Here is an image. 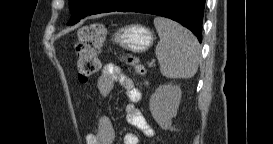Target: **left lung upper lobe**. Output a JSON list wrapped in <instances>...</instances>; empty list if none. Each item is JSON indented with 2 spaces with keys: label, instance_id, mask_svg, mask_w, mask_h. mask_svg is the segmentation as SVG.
Here are the masks:
<instances>
[{
  "label": "left lung upper lobe",
  "instance_id": "obj_1",
  "mask_svg": "<svg viewBox=\"0 0 273 144\" xmlns=\"http://www.w3.org/2000/svg\"><path fill=\"white\" fill-rule=\"evenodd\" d=\"M96 4V0H69V9L73 16L88 12Z\"/></svg>",
  "mask_w": 273,
  "mask_h": 144
}]
</instances>
